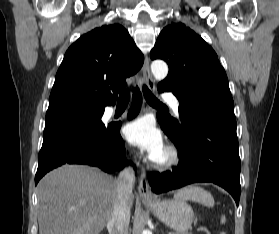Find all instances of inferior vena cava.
Wrapping results in <instances>:
<instances>
[{"label":"inferior vena cava","instance_id":"1","mask_svg":"<svg viewBox=\"0 0 279 234\" xmlns=\"http://www.w3.org/2000/svg\"><path fill=\"white\" fill-rule=\"evenodd\" d=\"M134 183L135 175L133 170L125 168L119 173V176L116 179L117 200L107 223L109 234H128L130 222V208L128 201L132 195Z\"/></svg>","mask_w":279,"mask_h":234}]
</instances>
